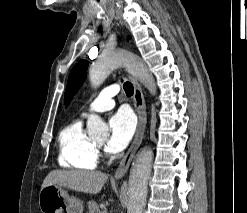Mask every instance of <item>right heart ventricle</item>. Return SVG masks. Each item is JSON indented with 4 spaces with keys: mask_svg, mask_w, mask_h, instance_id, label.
<instances>
[{
    "mask_svg": "<svg viewBox=\"0 0 247 213\" xmlns=\"http://www.w3.org/2000/svg\"><path fill=\"white\" fill-rule=\"evenodd\" d=\"M58 163L69 169L94 170L98 157L93 141L87 136L82 121L66 125L58 136Z\"/></svg>",
    "mask_w": 247,
    "mask_h": 213,
    "instance_id": "1",
    "label": "right heart ventricle"
}]
</instances>
